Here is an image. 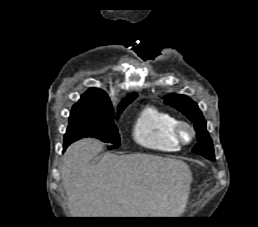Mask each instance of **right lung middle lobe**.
Segmentation results:
<instances>
[{
    "label": "right lung middle lobe",
    "mask_w": 258,
    "mask_h": 227,
    "mask_svg": "<svg viewBox=\"0 0 258 227\" xmlns=\"http://www.w3.org/2000/svg\"><path fill=\"white\" fill-rule=\"evenodd\" d=\"M119 106L121 112L129 103ZM113 108L74 107L69 117V126L64 136V144H71L81 138L95 137L112 144L110 149L119 146V134L113 121Z\"/></svg>",
    "instance_id": "obj_1"
}]
</instances>
